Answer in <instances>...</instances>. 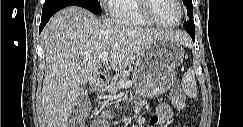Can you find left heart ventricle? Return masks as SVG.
<instances>
[{"mask_svg":"<svg viewBox=\"0 0 243 127\" xmlns=\"http://www.w3.org/2000/svg\"><path fill=\"white\" fill-rule=\"evenodd\" d=\"M151 8L156 18L167 24L177 22L180 17L175 0H151Z\"/></svg>","mask_w":243,"mask_h":127,"instance_id":"left-heart-ventricle-1","label":"left heart ventricle"}]
</instances>
